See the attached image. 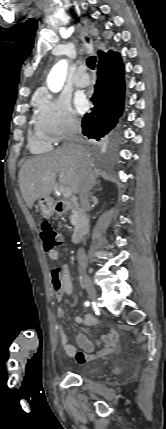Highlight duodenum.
Instances as JSON below:
<instances>
[{"label": "duodenum", "mask_w": 166, "mask_h": 429, "mask_svg": "<svg viewBox=\"0 0 166 429\" xmlns=\"http://www.w3.org/2000/svg\"><path fill=\"white\" fill-rule=\"evenodd\" d=\"M55 210L60 213L66 211L74 212L75 229L73 232L72 240L74 243L79 242L84 235L87 234L90 227L89 216L77 204L65 200H59L55 204Z\"/></svg>", "instance_id": "duodenum-1"}]
</instances>
